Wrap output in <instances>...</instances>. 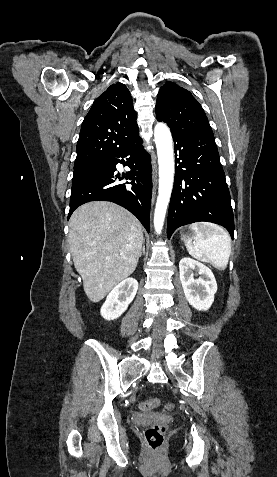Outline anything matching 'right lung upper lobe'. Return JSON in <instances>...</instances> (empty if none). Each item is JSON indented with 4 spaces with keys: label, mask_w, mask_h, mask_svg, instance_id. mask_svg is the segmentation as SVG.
Returning a JSON list of instances; mask_svg holds the SVG:
<instances>
[{
    "label": "right lung upper lobe",
    "mask_w": 277,
    "mask_h": 477,
    "mask_svg": "<svg viewBox=\"0 0 277 477\" xmlns=\"http://www.w3.org/2000/svg\"><path fill=\"white\" fill-rule=\"evenodd\" d=\"M127 87L112 84L93 103L81 126L75 168L91 167L139 138Z\"/></svg>",
    "instance_id": "obj_1"
}]
</instances>
